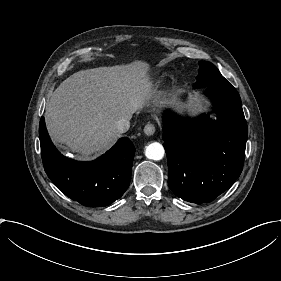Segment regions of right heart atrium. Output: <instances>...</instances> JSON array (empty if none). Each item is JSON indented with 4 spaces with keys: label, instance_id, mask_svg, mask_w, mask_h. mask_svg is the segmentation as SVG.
Returning <instances> with one entry per match:
<instances>
[{
    "label": "right heart atrium",
    "instance_id": "d8ad5b80",
    "mask_svg": "<svg viewBox=\"0 0 281 281\" xmlns=\"http://www.w3.org/2000/svg\"><path fill=\"white\" fill-rule=\"evenodd\" d=\"M108 117L112 121H117V120H120V119L124 118L125 117V109H124L123 105L120 102L116 101L112 105Z\"/></svg>",
    "mask_w": 281,
    "mask_h": 281
}]
</instances>
